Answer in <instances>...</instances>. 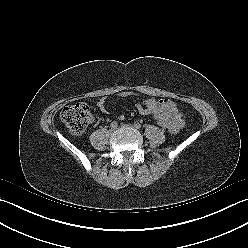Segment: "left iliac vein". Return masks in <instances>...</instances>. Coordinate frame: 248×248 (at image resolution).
Listing matches in <instances>:
<instances>
[{
    "label": "left iliac vein",
    "instance_id": "1",
    "mask_svg": "<svg viewBox=\"0 0 248 248\" xmlns=\"http://www.w3.org/2000/svg\"><path fill=\"white\" fill-rule=\"evenodd\" d=\"M121 127H131V128L136 129V127H135V126H133V125H129V124H122V125H121Z\"/></svg>",
    "mask_w": 248,
    "mask_h": 248
}]
</instances>
